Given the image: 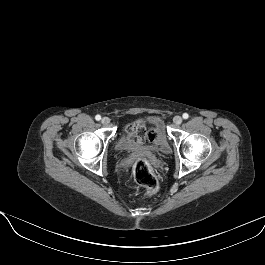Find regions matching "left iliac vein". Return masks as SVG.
Here are the masks:
<instances>
[{"mask_svg":"<svg viewBox=\"0 0 265 265\" xmlns=\"http://www.w3.org/2000/svg\"><path fill=\"white\" fill-rule=\"evenodd\" d=\"M173 122H174L175 125H180L182 123V117L181 116H178V115L175 116L173 118Z\"/></svg>","mask_w":265,"mask_h":265,"instance_id":"left-iliac-vein-1","label":"left iliac vein"}]
</instances>
